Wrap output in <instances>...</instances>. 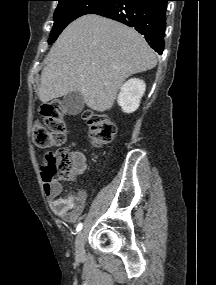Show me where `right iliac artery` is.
Here are the masks:
<instances>
[{
    "label": "right iliac artery",
    "instance_id": "82829eb1",
    "mask_svg": "<svg viewBox=\"0 0 216 285\" xmlns=\"http://www.w3.org/2000/svg\"><path fill=\"white\" fill-rule=\"evenodd\" d=\"M82 226H83L82 223H79V224L77 225V228H76L77 232L81 231Z\"/></svg>",
    "mask_w": 216,
    "mask_h": 285
}]
</instances>
